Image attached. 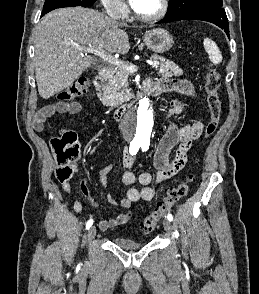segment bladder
Wrapping results in <instances>:
<instances>
[{"mask_svg": "<svg viewBox=\"0 0 259 294\" xmlns=\"http://www.w3.org/2000/svg\"><path fill=\"white\" fill-rule=\"evenodd\" d=\"M114 244L124 250H138L144 245L143 242L134 241L125 236L115 237Z\"/></svg>", "mask_w": 259, "mask_h": 294, "instance_id": "1", "label": "bladder"}]
</instances>
